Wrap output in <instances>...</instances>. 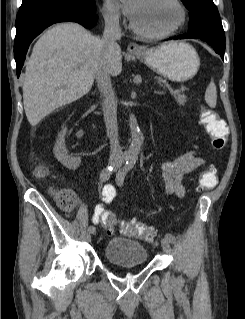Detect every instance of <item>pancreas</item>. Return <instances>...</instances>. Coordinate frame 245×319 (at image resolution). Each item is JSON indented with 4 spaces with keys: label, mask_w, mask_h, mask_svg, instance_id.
<instances>
[{
    "label": "pancreas",
    "mask_w": 245,
    "mask_h": 319,
    "mask_svg": "<svg viewBox=\"0 0 245 319\" xmlns=\"http://www.w3.org/2000/svg\"><path fill=\"white\" fill-rule=\"evenodd\" d=\"M174 98H175L176 102L179 103V104H181V105L185 104L186 101H187V100H186V99H187V96L184 95V94H180V93H175V94H174Z\"/></svg>",
    "instance_id": "1"
}]
</instances>
